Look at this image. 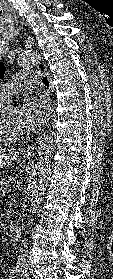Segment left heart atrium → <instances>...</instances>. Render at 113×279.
I'll return each instance as SVG.
<instances>
[{
	"label": "left heart atrium",
	"mask_w": 113,
	"mask_h": 279,
	"mask_svg": "<svg viewBox=\"0 0 113 279\" xmlns=\"http://www.w3.org/2000/svg\"><path fill=\"white\" fill-rule=\"evenodd\" d=\"M49 111V102L45 98H28L20 110L24 132H34L41 128L48 119Z\"/></svg>",
	"instance_id": "1"
}]
</instances>
